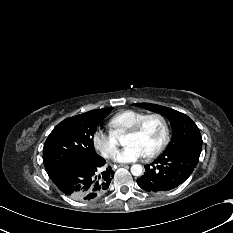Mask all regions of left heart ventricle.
Listing matches in <instances>:
<instances>
[{
	"mask_svg": "<svg viewBox=\"0 0 233 233\" xmlns=\"http://www.w3.org/2000/svg\"><path fill=\"white\" fill-rule=\"evenodd\" d=\"M163 137V127L161 122L156 119L148 120L142 130L137 134L127 133L125 136V145L136 144L141 147L146 154L151 152L161 141Z\"/></svg>",
	"mask_w": 233,
	"mask_h": 233,
	"instance_id": "left-heart-ventricle-1",
	"label": "left heart ventricle"
}]
</instances>
